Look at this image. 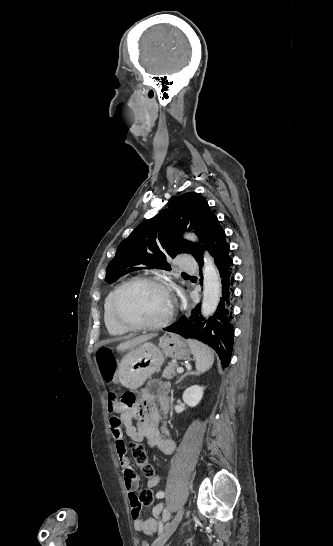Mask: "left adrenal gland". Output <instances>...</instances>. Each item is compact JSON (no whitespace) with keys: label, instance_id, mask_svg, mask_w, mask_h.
Masks as SVG:
<instances>
[{"label":"left adrenal gland","instance_id":"left-adrenal-gland-1","mask_svg":"<svg viewBox=\"0 0 333 546\" xmlns=\"http://www.w3.org/2000/svg\"><path fill=\"white\" fill-rule=\"evenodd\" d=\"M193 374H195V373H194V372H187V373H185L183 376H181V377L179 378V380L176 382V384L180 383L186 376H188V375H193Z\"/></svg>","mask_w":333,"mask_h":546}]
</instances>
